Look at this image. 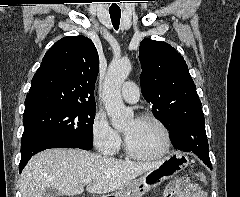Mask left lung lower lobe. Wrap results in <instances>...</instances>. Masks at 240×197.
Listing matches in <instances>:
<instances>
[{"label":"left lung lower lobe","mask_w":240,"mask_h":197,"mask_svg":"<svg viewBox=\"0 0 240 197\" xmlns=\"http://www.w3.org/2000/svg\"><path fill=\"white\" fill-rule=\"evenodd\" d=\"M204 127L203 111H197L192 116L179 118L175 130L171 131L170 139L176 149L187 152L192 151L212 169Z\"/></svg>","instance_id":"obj_1"}]
</instances>
